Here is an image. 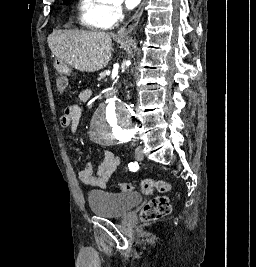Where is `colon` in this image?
Returning a JSON list of instances; mask_svg holds the SVG:
<instances>
[{"instance_id": "1", "label": "colon", "mask_w": 256, "mask_h": 267, "mask_svg": "<svg viewBox=\"0 0 256 267\" xmlns=\"http://www.w3.org/2000/svg\"><path fill=\"white\" fill-rule=\"evenodd\" d=\"M69 83L68 74L57 73L55 84L59 92H66L69 88ZM117 188L121 192H131L134 190L133 184L129 182L119 183ZM141 189L145 195H151L157 190L168 192L169 185L161 180L145 179L142 181ZM170 211L171 204L166 197H155L144 206L141 216L145 219L144 223H147V220L152 221L167 216Z\"/></svg>"}]
</instances>
